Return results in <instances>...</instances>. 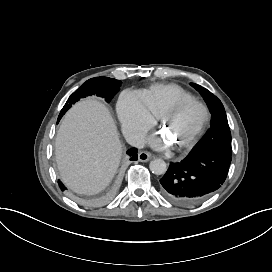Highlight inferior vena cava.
<instances>
[{
    "instance_id": "inferior-vena-cava-1",
    "label": "inferior vena cava",
    "mask_w": 272,
    "mask_h": 272,
    "mask_svg": "<svg viewBox=\"0 0 272 272\" xmlns=\"http://www.w3.org/2000/svg\"><path fill=\"white\" fill-rule=\"evenodd\" d=\"M127 142L137 148H143L145 144L144 134H139L133 137H130Z\"/></svg>"
}]
</instances>
